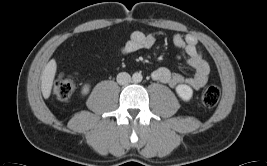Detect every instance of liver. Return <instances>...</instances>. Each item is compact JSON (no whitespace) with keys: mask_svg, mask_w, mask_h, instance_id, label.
I'll return each mask as SVG.
<instances>
[{"mask_svg":"<svg viewBox=\"0 0 267 166\" xmlns=\"http://www.w3.org/2000/svg\"><path fill=\"white\" fill-rule=\"evenodd\" d=\"M57 64L55 59H51L45 66L41 75V92L45 99H48L51 94L53 80L55 78Z\"/></svg>","mask_w":267,"mask_h":166,"instance_id":"6515ba94","label":"liver"}]
</instances>
